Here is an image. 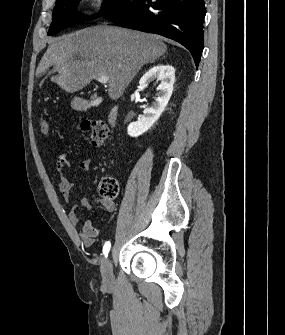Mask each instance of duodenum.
<instances>
[{
    "label": "duodenum",
    "mask_w": 285,
    "mask_h": 335,
    "mask_svg": "<svg viewBox=\"0 0 285 335\" xmlns=\"http://www.w3.org/2000/svg\"><path fill=\"white\" fill-rule=\"evenodd\" d=\"M117 108H113L109 114V117H108V123L109 125L112 127L114 124H115V121H116V118H117Z\"/></svg>",
    "instance_id": "duodenum-1"
}]
</instances>
